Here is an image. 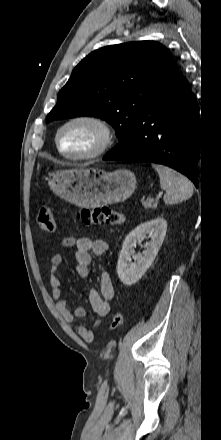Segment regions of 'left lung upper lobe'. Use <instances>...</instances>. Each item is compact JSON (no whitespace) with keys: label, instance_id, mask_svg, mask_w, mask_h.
Listing matches in <instances>:
<instances>
[{"label":"left lung upper lobe","instance_id":"left-lung-upper-lobe-1","mask_svg":"<svg viewBox=\"0 0 221 440\" xmlns=\"http://www.w3.org/2000/svg\"><path fill=\"white\" fill-rule=\"evenodd\" d=\"M171 53L154 41L100 48L86 56L59 91L47 121L94 116L113 126L120 153L148 103L177 73Z\"/></svg>","mask_w":221,"mask_h":440}]
</instances>
